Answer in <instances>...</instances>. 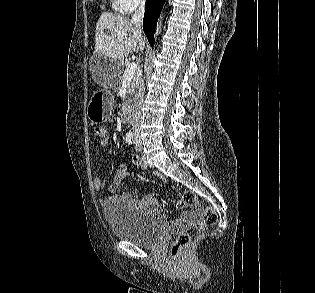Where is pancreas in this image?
Segmentation results:
<instances>
[{
    "label": "pancreas",
    "instance_id": "cf45deb5",
    "mask_svg": "<svg viewBox=\"0 0 315 293\" xmlns=\"http://www.w3.org/2000/svg\"><path fill=\"white\" fill-rule=\"evenodd\" d=\"M137 76H138V75H137L136 73L133 75V81H132V83H131V86L127 89V95L132 94V92H133V90H134V81H135V79L137 78ZM122 82H123V78H121L120 81H119V88H118V89L121 88ZM122 105H123V106L125 105V99H123Z\"/></svg>",
    "mask_w": 315,
    "mask_h": 293
}]
</instances>
